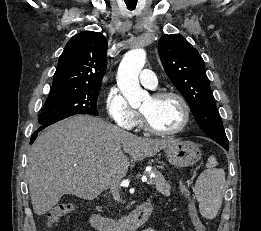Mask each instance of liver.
<instances>
[{"instance_id": "obj_1", "label": "liver", "mask_w": 261, "mask_h": 231, "mask_svg": "<svg viewBox=\"0 0 261 231\" xmlns=\"http://www.w3.org/2000/svg\"><path fill=\"white\" fill-rule=\"evenodd\" d=\"M175 142L138 137L88 115L59 121L38 136L28 154L33 210L46 214L64 194L94 199L124 178L134 162Z\"/></svg>"}]
</instances>
